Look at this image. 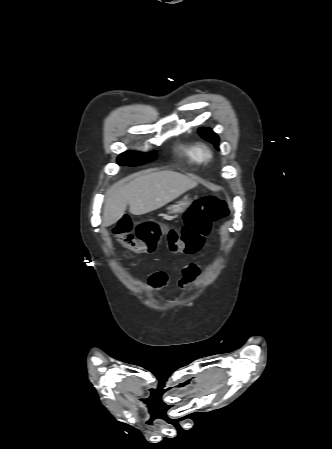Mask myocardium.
<instances>
[{"label": "myocardium", "mask_w": 332, "mask_h": 449, "mask_svg": "<svg viewBox=\"0 0 332 449\" xmlns=\"http://www.w3.org/2000/svg\"><path fill=\"white\" fill-rule=\"evenodd\" d=\"M201 156L204 160H209L212 157V152L209 148L203 147L201 149Z\"/></svg>", "instance_id": "1"}]
</instances>
